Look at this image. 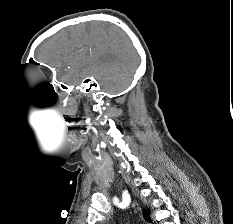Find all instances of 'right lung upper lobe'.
Wrapping results in <instances>:
<instances>
[{"mask_svg": "<svg viewBox=\"0 0 233 224\" xmlns=\"http://www.w3.org/2000/svg\"><path fill=\"white\" fill-rule=\"evenodd\" d=\"M143 216L146 221L151 222L149 212H147L146 210H143Z\"/></svg>", "mask_w": 233, "mask_h": 224, "instance_id": "right-lung-upper-lobe-1", "label": "right lung upper lobe"}]
</instances>
